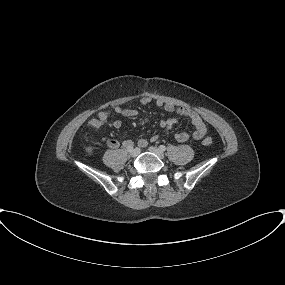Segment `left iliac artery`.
Here are the masks:
<instances>
[{"instance_id":"44dca946","label":"left iliac artery","mask_w":285,"mask_h":285,"mask_svg":"<svg viewBox=\"0 0 285 285\" xmlns=\"http://www.w3.org/2000/svg\"><path fill=\"white\" fill-rule=\"evenodd\" d=\"M159 148H160L161 151H165L166 150V147L164 145H160Z\"/></svg>"}]
</instances>
